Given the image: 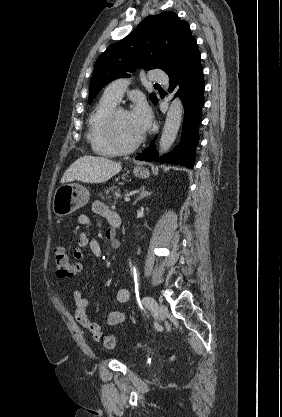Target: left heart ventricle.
Returning a JSON list of instances; mask_svg holds the SVG:
<instances>
[{
    "label": "left heart ventricle",
    "mask_w": 282,
    "mask_h": 417,
    "mask_svg": "<svg viewBox=\"0 0 282 417\" xmlns=\"http://www.w3.org/2000/svg\"><path fill=\"white\" fill-rule=\"evenodd\" d=\"M100 131L107 137L108 128L105 120L100 124ZM115 133L118 139L126 144L136 141L142 134V132L137 128L132 114L124 113L117 117Z\"/></svg>",
    "instance_id": "1"
}]
</instances>
